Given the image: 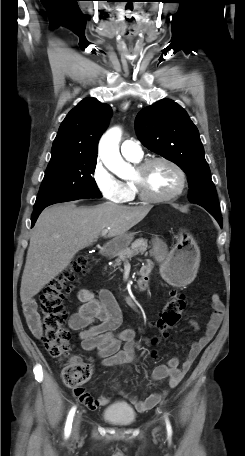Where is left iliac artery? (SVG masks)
I'll return each mask as SVG.
<instances>
[{"label":"left iliac artery","mask_w":245,"mask_h":456,"mask_svg":"<svg viewBox=\"0 0 245 456\" xmlns=\"http://www.w3.org/2000/svg\"><path fill=\"white\" fill-rule=\"evenodd\" d=\"M166 428H167V432L169 435L172 434V428H171V425H170V422L168 420V418H166Z\"/></svg>","instance_id":"44dca946"}]
</instances>
